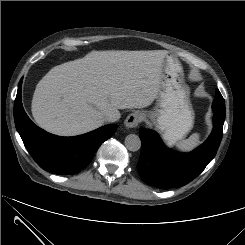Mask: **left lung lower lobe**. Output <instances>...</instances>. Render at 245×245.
Returning a JSON list of instances; mask_svg holds the SVG:
<instances>
[{"mask_svg":"<svg viewBox=\"0 0 245 245\" xmlns=\"http://www.w3.org/2000/svg\"><path fill=\"white\" fill-rule=\"evenodd\" d=\"M212 109L214 112L212 133L200 147L190 153L171 151L156 132L140 129L142 147L137 169L147 184L163 189L181 187L205 169L216 155L225 120V113L219 110L217 98L212 104Z\"/></svg>","mask_w":245,"mask_h":245,"instance_id":"left-lung-lower-lobe-1","label":"left lung lower lobe"}]
</instances>
